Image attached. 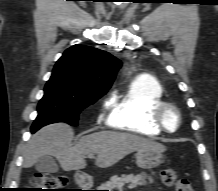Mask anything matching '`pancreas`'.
Wrapping results in <instances>:
<instances>
[{"mask_svg":"<svg viewBox=\"0 0 218 191\" xmlns=\"http://www.w3.org/2000/svg\"><path fill=\"white\" fill-rule=\"evenodd\" d=\"M147 179H150V177L145 174L141 173L138 175H115L110 178L108 182L103 184L101 188L99 189H108V190H123V188L127 185L128 188H136L137 186L145 185L147 183Z\"/></svg>","mask_w":218,"mask_h":191,"instance_id":"cf45deb5","label":"pancreas"}]
</instances>
